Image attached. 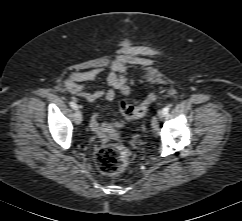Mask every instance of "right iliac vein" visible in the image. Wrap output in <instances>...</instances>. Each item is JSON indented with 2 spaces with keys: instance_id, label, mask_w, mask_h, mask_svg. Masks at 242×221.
I'll use <instances>...</instances> for the list:
<instances>
[{
  "instance_id": "1",
  "label": "right iliac vein",
  "mask_w": 242,
  "mask_h": 221,
  "mask_svg": "<svg viewBox=\"0 0 242 221\" xmlns=\"http://www.w3.org/2000/svg\"><path fill=\"white\" fill-rule=\"evenodd\" d=\"M74 120L76 124H80L83 120V116L80 110H77L74 114Z\"/></svg>"
}]
</instances>
